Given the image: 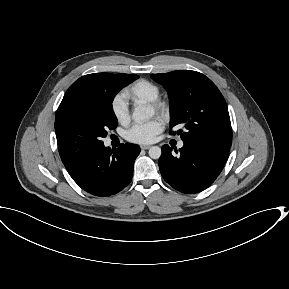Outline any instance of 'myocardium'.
Returning <instances> with one entry per match:
<instances>
[{
	"instance_id": "obj_1",
	"label": "myocardium",
	"mask_w": 289,
	"mask_h": 289,
	"mask_svg": "<svg viewBox=\"0 0 289 289\" xmlns=\"http://www.w3.org/2000/svg\"><path fill=\"white\" fill-rule=\"evenodd\" d=\"M151 109L159 115L166 116L169 111V104L166 100L157 99L149 103Z\"/></svg>"
}]
</instances>
